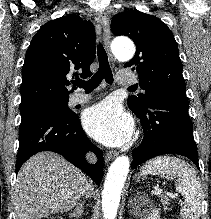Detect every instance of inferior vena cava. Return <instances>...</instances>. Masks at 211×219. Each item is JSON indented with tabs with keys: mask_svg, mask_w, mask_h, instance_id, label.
<instances>
[{
	"mask_svg": "<svg viewBox=\"0 0 211 219\" xmlns=\"http://www.w3.org/2000/svg\"><path fill=\"white\" fill-rule=\"evenodd\" d=\"M86 159H87V161H89L90 163H95V162L97 161L96 156H95L94 154H92V153H88V154L86 155ZM89 195H90V193H87V194H86V196H89Z\"/></svg>",
	"mask_w": 211,
	"mask_h": 219,
	"instance_id": "1",
	"label": "inferior vena cava"
}]
</instances>
